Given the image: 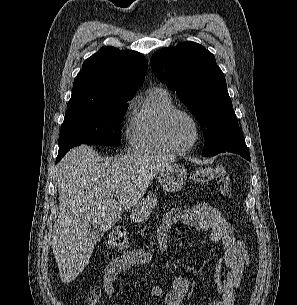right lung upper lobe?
I'll return each instance as SVG.
<instances>
[{"label": "right lung upper lobe", "instance_id": "obj_1", "mask_svg": "<svg viewBox=\"0 0 297 305\" xmlns=\"http://www.w3.org/2000/svg\"><path fill=\"white\" fill-rule=\"evenodd\" d=\"M147 69L146 58L138 52L102 47L83 63L68 105L134 96Z\"/></svg>", "mask_w": 297, "mask_h": 305}]
</instances>
